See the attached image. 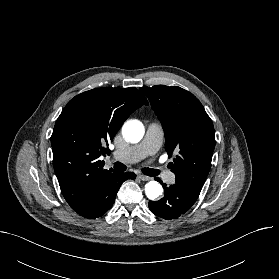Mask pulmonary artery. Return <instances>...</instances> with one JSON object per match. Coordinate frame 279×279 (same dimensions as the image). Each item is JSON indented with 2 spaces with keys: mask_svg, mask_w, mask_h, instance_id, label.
I'll return each instance as SVG.
<instances>
[{
  "mask_svg": "<svg viewBox=\"0 0 279 279\" xmlns=\"http://www.w3.org/2000/svg\"><path fill=\"white\" fill-rule=\"evenodd\" d=\"M163 135L164 132L161 125L158 123H150L141 143L123 150H117L113 152L112 156L125 163L137 162L158 151L162 144ZM163 176L168 183L174 182L175 176L172 172H164Z\"/></svg>",
  "mask_w": 279,
  "mask_h": 279,
  "instance_id": "e3ab8cb5",
  "label": "pulmonary artery"
}]
</instances>
